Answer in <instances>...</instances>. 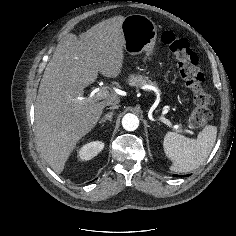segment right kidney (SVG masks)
Returning <instances> with one entry per match:
<instances>
[{
	"mask_svg": "<svg viewBox=\"0 0 236 236\" xmlns=\"http://www.w3.org/2000/svg\"><path fill=\"white\" fill-rule=\"evenodd\" d=\"M104 148V143L101 141H93L82 146L78 151V157L87 161L95 157Z\"/></svg>",
	"mask_w": 236,
	"mask_h": 236,
	"instance_id": "obj_1",
	"label": "right kidney"
}]
</instances>
